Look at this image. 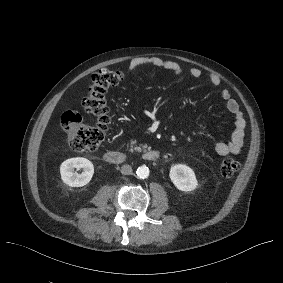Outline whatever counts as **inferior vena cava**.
Wrapping results in <instances>:
<instances>
[{
    "label": "inferior vena cava",
    "mask_w": 283,
    "mask_h": 283,
    "mask_svg": "<svg viewBox=\"0 0 283 283\" xmlns=\"http://www.w3.org/2000/svg\"><path fill=\"white\" fill-rule=\"evenodd\" d=\"M120 172H121L122 175H129L132 172V168H131L130 165H127V164L126 165H122L121 169H120Z\"/></svg>",
    "instance_id": "1"
}]
</instances>
